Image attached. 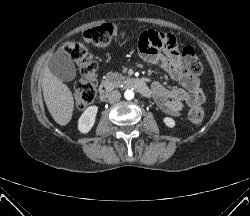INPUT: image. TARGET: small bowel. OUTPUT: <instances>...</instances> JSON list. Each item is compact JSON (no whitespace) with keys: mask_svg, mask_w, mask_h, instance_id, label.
I'll use <instances>...</instances> for the list:
<instances>
[{"mask_svg":"<svg viewBox=\"0 0 250 216\" xmlns=\"http://www.w3.org/2000/svg\"><path fill=\"white\" fill-rule=\"evenodd\" d=\"M139 50L144 60L160 65L181 84L180 88L175 89H168L159 82L151 85V94L163 112L177 117L185 108L203 103L204 94L199 79L181 68L172 34L153 30L144 32L140 37Z\"/></svg>","mask_w":250,"mask_h":216,"instance_id":"1","label":"small bowel"}]
</instances>
